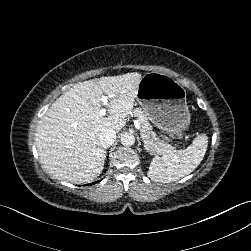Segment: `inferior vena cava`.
Masks as SVG:
<instances>
[{
  "mask_svg": "<svg viewBox=\"0 0 251 251\" xmlns=\"http://www.w3.org/2000/svg\"><path fill=\"white\" fill-rule=\"evenodd\" d=\"M116 132L112 129H105L99 135L102 147H109L115 142Z\"/></svg>",
  "mask_w": 251,
  "mask_h": 251,
  "instance_id": "602c4592",
  "label": "inferior vena cava"
}]
</instances>
